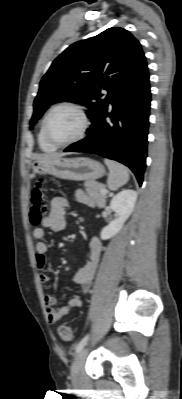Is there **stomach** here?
<instances>
[{"label":"stomach","instance_id":"obj_1","mask_svg":"<svg viewBox=\"0 0 182 399\" xmlns=\"http://www.w3.org/2000/svg\"><path fill=\"white\" fill-rule=\"evenodd\" d=\"M35 174H49L66 180H95L105 174L101 163L90 158L53 157L32 165Z\"/></svg>","mask_w":182,"mask_h":399}]
</instances>
